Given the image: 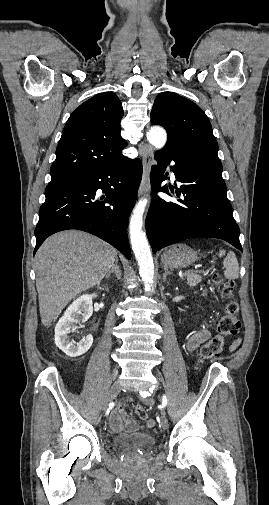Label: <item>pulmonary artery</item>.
I'll use <instances>...</instances> for the list:
<instances>
[{"instance_id":"obj_1","label":"pulmonary artery","mask_w":269,"mask_h":505,"mask_svg":"<svg viewBox=\"0 0 269 505\" xmlns=\"http://www.w3.org/2000/svg\"><path fill=\"white\" fill-rule=\"evenodd\" d=\"M171 178H172L173 180H175V179H176L175 174H174V172H173V171L171 172Z\"/></svg>"}]
</instances>
